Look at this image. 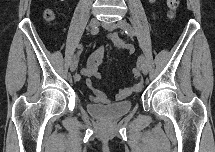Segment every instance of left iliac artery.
Masks as SVG:
<instances>
[{
    "instance_id": "44dca946",
    "label": "left iliac artery",
    "mask_w": 215,
    "mask_h": 152,
    "mask_svg": "<svg viewBox=\"0 0 215 152\" xmlns=\"http://www.w3.org/2000/svg\"><path fill=\"white\" fill-rule=\"evenodd\" d=\"M120 27L123 29V31L130 36H135L136 33L134 31V29L132 28V26L126 22V21H121L120 22ZM137 61L136 62V69H138L140 72L143 70V66L141 64H143V55L139 54L137 56Z\"/></svg>"
}]
</instances>
